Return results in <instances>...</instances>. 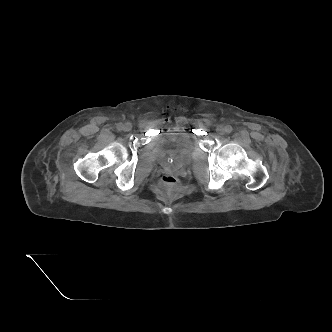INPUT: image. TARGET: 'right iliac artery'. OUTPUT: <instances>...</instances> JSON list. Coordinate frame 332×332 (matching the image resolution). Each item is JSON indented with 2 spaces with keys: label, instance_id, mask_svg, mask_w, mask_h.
<instances>
[{
  "label": "right iliac artery",
  "instance_id": "82829eb1",
  "mask_svg": "<svg viewBox=\"0 0 332 332\" xmlns=\"http://www.w3.org/2000/svg\"><path fill=\"white\" fill-rule=\"evenodd\" d=\"M122 126H123L122 123L117 124V129H118V130H122Z\"/></svg>",
  "mask_w": 332,
  "mask_h": 332
}]
</instances>
